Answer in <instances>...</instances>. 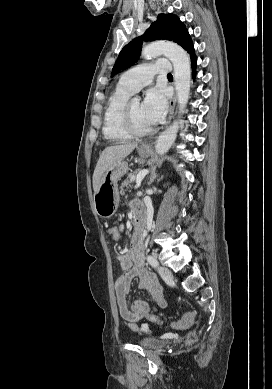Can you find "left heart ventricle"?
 I'll return each instance as SVG.
<instances>
[{"label": "left heart ventricle", "instance_id": "1", "mask_svg": "<svg viewBox=\"0 0 272 389\" xmlns=\"http://www.w3.org/2000/svg\"><path fill=\"white\" fill-rule=\"evenodd\" d=\"M132 114L135 125L138 129L144 130L151 127V124L146 119L143 110L142 103L138 100H133L132 102Z\"/></svg>", "mask_w": 272, "mask_h": 389}]
</instances>
